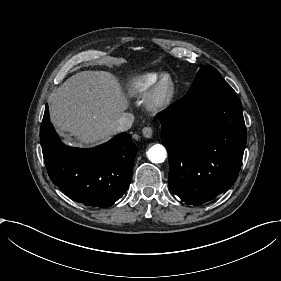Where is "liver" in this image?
Wrapping results in <instances>:
<instances>
[{
  "label": "liver",
  "instance_id": "liver-1",
  "mask_svg": "<svg viewBox=\"0 0 281 281\" xmlns=\"http://www.w3.org/2000/svg\"><path fill=\"white\" fill-rule=\"evenodd\" d=\"M118 79L108 71H81L68 78L50 96V117L61 136L69 133L76 145L108 141L113 123L128 108Z\"/></svg>",
  "mask_w": 281,
  "mask_h": 281
}]
</instances>
